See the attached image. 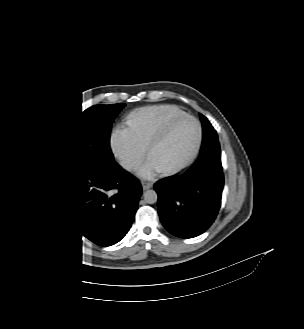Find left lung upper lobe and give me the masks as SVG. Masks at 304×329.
Segmentation results:
<instances>
[{"instance_id":"1","label":"left lung upper lobe","mask_w":304,"mask_h":329,"mask_svg":"<svg viewBox=\"0 0 304 329\" xmlns=\"http://www.w3.org/2000/svg\"><path fill=\"white\" fill-rule=\"evenodd\" d=\"M203 127V142L200 153L207 149L213 142L218 141L217 133L208 119L200 114Z\"/></svg>"}]
</instances>
